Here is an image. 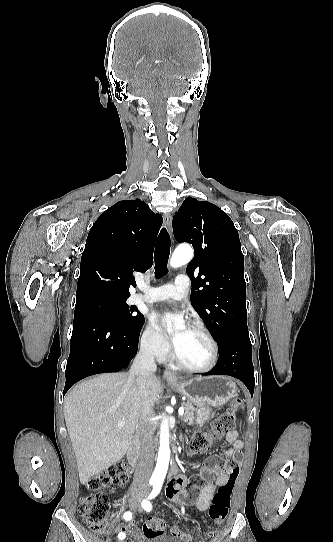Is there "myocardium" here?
Segmentation results:
<instances>
[{
    "label": "myocardium",
    "mask_w": 333,
    "mask_h": 542,
    "mask_svg": "<svg viewBox=\"0 0 333 542\" xmlns=\"http://www.w3.org/2000/svg\"><path fill=\"white\" fill-rule=\"evenodd\" d=\"M189 328L196 331V332H198L199 334H201L203 337H205L209 341V343L211 345V348H212L211 361L209 362L208 365H206L204 367H201V368H196V367L189 366V365L185 364L183 361H181L176 356V354L174 353L171 345H170L169 350H168L169 359L179 369H181V370H183L185 372L195 373V374H203V373L210 372L211 370H213L215 368V366L218 363L219 353H220L219 345H218L216 339L214 338V336L204 326H201L199 324H193Z\"/></svg>",
    "instance_id": "f54148a6"
}]
</instances>
